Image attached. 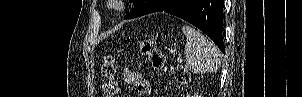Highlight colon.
<instances>
[{"instance_id": "5ec220e1", "label": "colon", "mask_w": 302, "mask_h": 97, "mask_svg": "<svg viewBox=\"0 0 302 97\" xmlns=\"http://www.w3.org/2000/svg\"><path fill=\"white\" fill-rule=\"evenodd\" d=\"M138 46L141 53L148 59L154 69L169 73L181 84H188L190 82L189 73L182 67L168 65L152 40L141 39L138 42ZM102 74L104 76V96L114 97L117 93L116 69L114 59L110 55L105 56L103 59Z\"/></svg>"}]
</instances>
